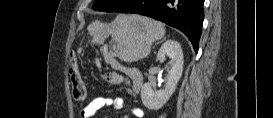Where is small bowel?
<instances>
[{
	"label": "small bowel",
	"mask_w": 273,
	"mask_h": 118,
	"mask_svg": "<svg viewBox=\"0 0 273 118\" xmlns=\"http://www.w3.org/2000/svg\"><path fill=\"white\" fill-rule=\"evenodd\" d=\"M123 99L112 95H98L93 97L81 110L82 118L93 117L102 108H112L120 110L123 107ZM130 113L134 117H142L143 111L139 107H132Z\"/></svg>",
	"instance_id": "small-bowel-1"
}]
</instances>
